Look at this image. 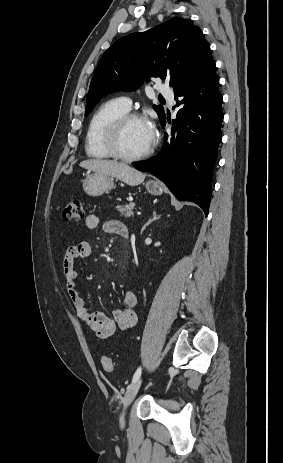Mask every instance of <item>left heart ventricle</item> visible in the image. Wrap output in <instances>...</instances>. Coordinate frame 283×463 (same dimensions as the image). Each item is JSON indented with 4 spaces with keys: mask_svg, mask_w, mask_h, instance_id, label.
<instances>
[{
    "mask_svg": "<svg viewBox=\"0 0 283 463\" xmlns=\"http://www.w3.org/2000/svg\"><path fill=\"white\" fill-rule=\"evenodd\" d=\"M151 126L140 120L130 121L119 137V149L126 155H136L145 151L152 142Z\"/></svg>",
    "mask_w": 283,
    "mask_h": 463,
    "instance_id": "b2bd125f",
    "label": "left heart ventricle"
}]
</instances>
